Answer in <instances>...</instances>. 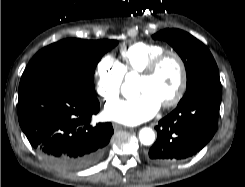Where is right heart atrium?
<instances>
[{
	"mask_svg": "<svg viewBox=\"0 0 245 187\" xmlns=\"http://www.w3.org/2000/svg\"><path fill=\"white\" fill-rule=\"evenodd\" d=\"M96 92L102 101L112 103L121 94L124 73L120 64L110 55H104L95 67Z\"/></svg>",
	"mask_w": 245,
	"mask_h": 187,
	"instance_id": "1",
	"label": "right heart atrium"
}]
</instances>
